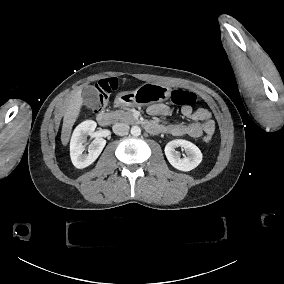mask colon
Listing matches in <instances>:
<instances>
[{
    "mask_svg": "<svg viewBox=\"0 0 284 284\" xmlns=\"http://www.w3.org/2000/svg\"><path fill=\"white\" fill-rule=\"evenodd\" d=\"M107 89L105 91H100L96 95V103L94 104L95 109L104 108V98L111 92L118 89V82L115 78H110L106 80ZM171 101L180 106L181 108L188 109L191 108L196 101L195 95L185 88H175L170 95ZM211 140L210 135L204 137V141L209 142Z\"/></svg>",
    "mask_w": 284,
    "mask_h": 284,
    "instance_id": "1",
    "label": "colon"
}]
</instances>
